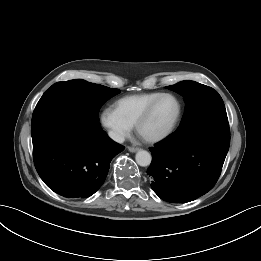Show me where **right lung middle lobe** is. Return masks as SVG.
Returning a JSON list of instances; mask_svg holds the SVG:
<instances>
[{"mask_svg": "<svg viewBox=\"0 0 261 261\" xmlns=\"http://www.w3.org/2000/svg\"><path fill=\"white\" fill-rule=\"evenodd\" d=\"M120 90L81 79L57 82L41 97L33 112L32 121L54 111L88 115L99 120L101 106Z\"/></svg>", "mask_w": 261, "mask_h": 261, "instance_id": "right-lung-middle-lobe-1", "label": "right lung middle lobe"}]
</instances>
